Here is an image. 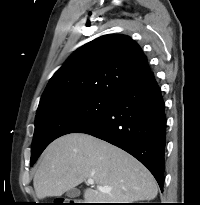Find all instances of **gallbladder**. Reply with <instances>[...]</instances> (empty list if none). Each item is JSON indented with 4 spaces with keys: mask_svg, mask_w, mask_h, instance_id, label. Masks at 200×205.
<instances>
[{
    "mask_svg": "<svg viewBox=\"0 0 200 205\" xmlns=\"http://www.w3.org/2000/svg\"><path fill=\"white\" fill-rule=\"evenodd\" d=\"M66 195L70 198H76L80 195V191L77 188H72L66 192Z\"/></svg>",
    "mask_w": 200,
    "mask_h": 205,
    "instance_id": "obj_1",
    "label": "gallbladder"
}]
</instances>
